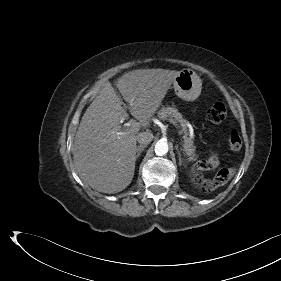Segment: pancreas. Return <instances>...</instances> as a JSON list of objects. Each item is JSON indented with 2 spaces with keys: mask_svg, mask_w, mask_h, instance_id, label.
<instances>
[{
  "mask_svg": "<svg viewBox=\"0 0 281 281\" xmlns=\"http://www.w3.org/2000/svg\"><path fill=\"white\" fill-rule=\"evenodd\" d=\"M158 117L162 120L172 118L175 122L180 124L181 131L184 133L183 151L188 156V161H196L197 155L195 153L196 147L194 146V137L190 136L188 132L189 122L183 118L182 114L178 112L175 107L170 106H163L158 112Z\"/></svg>",
  "mask_w": 281,
  "mask_h": 281,
  "instance_id": "obj_1",
  "label": "pancreas"
}]
</instances>
